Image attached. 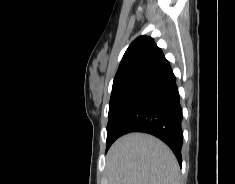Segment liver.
<instances>
[{"label":"liver","mask_w":235,"mask_h":184,"mask_svg":"<svg viewBox=\"0 0 235 184\" xmlns=\"http://www.w3.org/2000/svg\"><path fill=\"white\" fill-rule=\"evenodd\" d=\"M109 184H180L179 164L170 148L149 134H126L106 156Z\"/></svg>","instance_id":"liver-1"}]
</instances>
